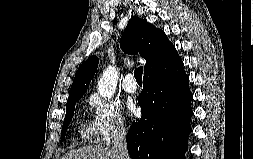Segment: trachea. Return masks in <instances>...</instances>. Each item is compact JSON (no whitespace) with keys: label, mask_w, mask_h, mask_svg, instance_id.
Here are the masks:
<instances>
[{"label":"trachea","mask_w":253,"mask_h":159,"mask_svg":"<svg viewBox=\"0 0 253 159\" xmlns=\"http://www.w3.org/2000/svg\"><path fill=\"white\" fill-rule=\"evenodd\" d=\"M142 74H143V67L142 66H139L138 68L135 69L134 77L137 82H142Z\"/></svg>","instance_id":"3493384b"}]
</instances>
